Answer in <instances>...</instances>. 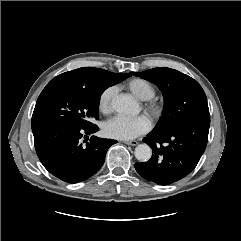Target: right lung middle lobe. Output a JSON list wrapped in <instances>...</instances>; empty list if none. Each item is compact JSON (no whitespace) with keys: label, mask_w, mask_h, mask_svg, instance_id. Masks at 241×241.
I'll list each match as a JSON object with an SVG mask.
<instances>
[{"label":"right lung middle lobe","mask_w":241,"mask_h":241,"mask_svg":"<svg viewBox=\"0 0 241 241\" xmlns=\"http://www.w3.org/2000/svg\"><path fill=\"white\" fill-rule=\"evenodd\" d=\"M123 79L104 76L92 85L52 79L41 92L32 115V128L50 124H69L92 129L99 118V100L105 89Z\"/></svg>","instance_id":"dd1d6c3e"}]
</instances>
